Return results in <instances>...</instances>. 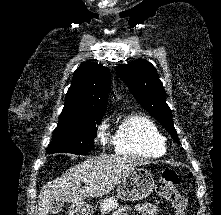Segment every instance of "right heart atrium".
Listing matches in <instances>:
<instances>
[{
	"label": "right heart atrium",
	"instance_id": "obj_1",
	"mask_svg": "<svg viewBox=\"0 0 221 215\" xmlns=\"http://www.w3.org/2000/svg\"><path fill=\"white\" fill-rule=\"evenodd\" d=\"M97 136L102 145H107L110 141L108 134V123L106 120L102 121L97 130Z\"/></svg>",
	"mask_w": 221,
	"mask_h": 215
}]
</instances>
